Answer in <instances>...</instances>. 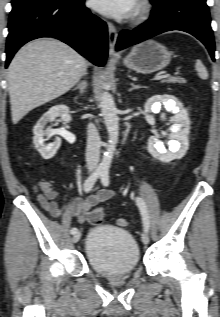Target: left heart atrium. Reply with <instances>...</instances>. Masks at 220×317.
I'll return each instance as SVG.
<instances>
[{"label": "left heart atrium", "instance_id": "1", "mask_svg": "<svg viewBox=\"0 0 220 317\" xmlns=\"http://www.w3.org/2000/svg\"><path fill=\"white\" fill-rule=\"evenodd\" d=\"M96 11L115 18H125L135 11L137 0H89Z\"/></svg>", "mask_w": 220, "mask_h": 317}]
</instances>
